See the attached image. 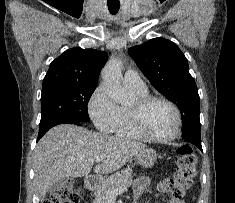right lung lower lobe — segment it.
<instances>
[{
  "label": "right lung lower lobe",
  "mask_w": 235,
  "mask_h": 203,
  "mask_svg": "<svg viewBox=\"0 0 235 203\" xmlns=\"http://www.w3.org/2000/svg\"><path fill=\"white\" fill-rule=\"evenodd\" d=\"M58 124H75V125H81V122L75 121V120H59V121H54L51 122L47 125H44L42 127H39V134H38V139L37 141L52 127L58 125Z\"/></svg>",
  "instance_id": "obj_1"
}]
</instances>
